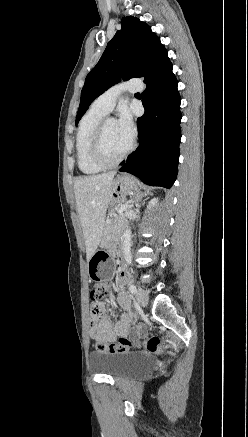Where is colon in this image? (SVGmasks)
<instances>
[{
	"label": "colon",
	"instance_id": "obj_1",
	"mask_svg": "<svg viewBox=\"0 0 248 437\" xmlns=\"http://www.w3.org/2000/svg\"><path fill=\"white\" fill-rule=\"evenodd\" d=\"M111 293V285L109 286H96L95 282L91 289V299L95 302H99L109 296ZM143 348L153 354H163L164 348L160 342V340L152 336L147 338L142 342ZM132 347L131 341L127 337H121L117 342L105 343L99 342L96 345V350L98 352H107V353H123L129 351Z\"/></svg>",
	"mask_w": 248,
	"mask_h": 437
}]
</instances>
